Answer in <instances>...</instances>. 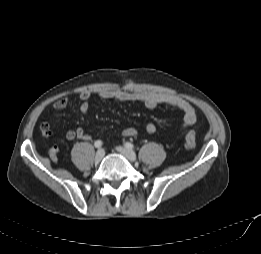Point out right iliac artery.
Instances as JSON below:
<instances>
[{
  "label": "right iliac artery",
  "instance_id": "1",
  "mask_svg": "<svg viewBox=\"0 0 261 254\" xmlns=\"http://www.w3.org/2000/svg\"><path fill=\"white\" fill-rule=\"evenodd\" d=\"M102 141L101 140H97V141H95V143H94V146L96 147V148H100L101 146H102Z\"/></svg>",
  "mask_w": 261,
  "mask_h": 254
}]
</instances>
